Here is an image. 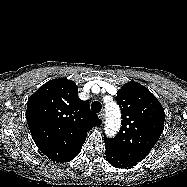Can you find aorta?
I'll return each mask as SVG.
<instances>
[{
	"label": "aorta",
	"instance_id": "obj_1",
	"mask_svg": "<svg viewBox=\"0 0 187 187\" xmlns=\"http://www.w3.org/2000/svg\"><path fill=\"white\" fill-rule=\"evenodd\" d=\"M106 123L105 134L108 137H113L121 126V113L118 105L115 102L108 103L105 108Z\"/></svg>",
	"mask_w": 187,
	"mask_h": 187
}]
</instances>
